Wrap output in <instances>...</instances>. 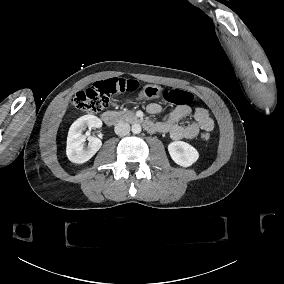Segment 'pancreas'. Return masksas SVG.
Returning <instances> with one entry per match:
<instances>
[{"instance_id": "pancreas-1", "label": "pancreas", "mask_w": 284, "mask_h": 284, "mask_svg": "<svg viewBox=\"0 0 284 284\" xmlns=\"http://www.w3.org/2000/svg\"><path fill=\"white\" fill-rule=\"evenodd\" d=\"M114 114L119 118V120H126V121H130L132 119H135L136 116L134 114L133 111H118V112H114Z\"/></svg>"}]
</instances>
